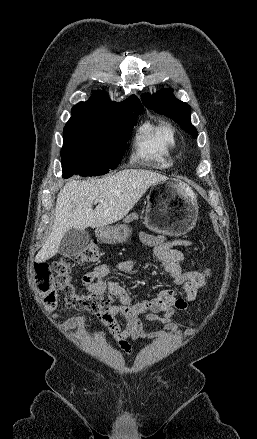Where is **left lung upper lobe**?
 I'll use <instances>...</instances> for the list:
<instances>
[{
    "label": "left lung upper lobe",
    "instance_id": "5c2ea615",
    "mask_svg": "<svg viewBox=\"0 0 257 439\" xmlns=\"http://www.w3.org/2000/svg\"><path fill=\"white\" fill-rule=\"evenodd\" d=\"M172 89H162L150 98L149 94L142 95L143 104L159 114L172 118L180 127L188 132L193 138H197V130L191 124L190 106L176 99Z\"/></svg>",
    "mask_w": 257,
    "mask_h": 439
}]
</instances>
